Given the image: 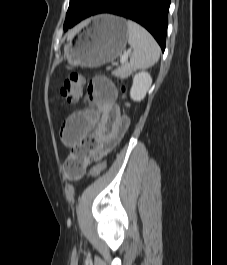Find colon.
<instances>
[{"mask_svg": "<svg viewBox=\"0 0 227 265\" xmlns=\"http://www.w3.org/2000/svg\"><path fill=\"white\" fill-rule=\"evenodd\" d=\"M84 83L85 79L80 73L72 72L66 78L63 87L60 89V96L68 103H75L82 95ZM122 92H125L124 87H122ZM84 160V155L78 150L71 151L64 163L65 171L70 178H74L83 167ZM105 167L106 161L101 160L92 168L90 177H98L104 171Z\"/></svg>", "mask_w": 227, "mask_h": 265, "instance_id": "1", "label": "colon"}]
</instances>
